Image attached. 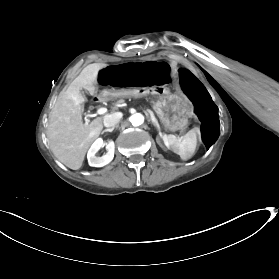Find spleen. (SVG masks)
<instances>
[{"mask_svg":"<svg viewBox=\"0 0 279 279\" xmlns=\"http://www.w3.org/2000/svg\"><path fill=\"white\" fill-rule=\"evenodd\" d=\"M166 142L173 153L179 155L183 160H188L195 152L196 134L194 131H189L182 139L170 134L167 135Z\"/></svg>","mask_w":279,"mask_h":279,"instance_id":"3e777b00","label":"spleen"}]
</instances>
